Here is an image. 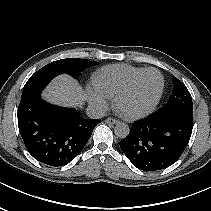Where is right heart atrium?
Returning <instances> with one entry per match:
<instances>
[{
    "instance_id": "1",
    "label": "right heart atrium",
    "mask_w": 211,
    "mask_h": 211,
    "mask_svg": "<svg viewBox=\"0 0 211 211\" xmlns=\"http://www.w3.org/2000/svg\"><path fill=\"white\" fill-rule=\"evenodd\" d=\"M90 99L92 103L98 108H104L108 105L110 96L101 89L94 86L90 92Z\"/></svg>"
}]
</instances>
